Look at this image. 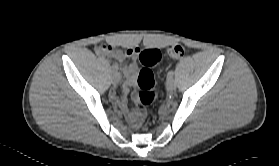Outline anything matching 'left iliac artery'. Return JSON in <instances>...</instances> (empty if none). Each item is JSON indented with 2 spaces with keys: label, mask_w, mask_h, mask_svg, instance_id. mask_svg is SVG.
I'll use <instances>...</instances> for the list:
<instances>
[{
  "label": "left iliac artery",
  "mask_w": 279,
  "mask_h": 166,
  "mask_svg": "<svg viewBox=\"0 0 279 166\" xmlns=\"http://www.w3.org/2000/svg\"><path fill=\"white\" fill-rule=\"evenodd\" d=\"M173 75H174V72L172 70L168 72V77L169 78L173 77Z\"/></svg>",
  "instance_id": "44dca946"
}]
</instances>
